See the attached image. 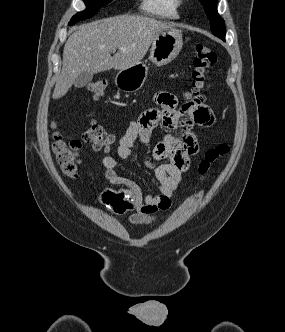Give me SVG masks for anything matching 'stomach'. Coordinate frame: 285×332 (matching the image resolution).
<instances>
[{
  "label": "stomach",
  "mask_w": 285,
  "mask_h": 332,
  "mask_svg": "<svg viewBox=\"0 0 285 332\" xmlns=\"http://www.w3.org/2000/svg\"><path fill=\"white\" fill-rule=\"evenodd\" d=\"M183 46L182 34L170 28L159 34L153 41L149 60L156 66H163L174 60ZM148 68L139 63L125 70H120L115 78L116 86L126 92L138 91L144 85Z\"/></svg>",
  "instance_id": "0dacf381"
}]
</instances>
